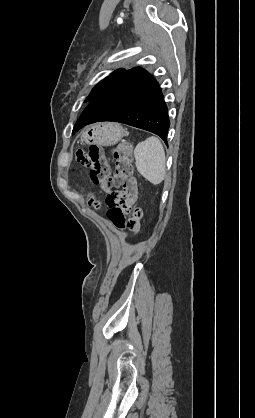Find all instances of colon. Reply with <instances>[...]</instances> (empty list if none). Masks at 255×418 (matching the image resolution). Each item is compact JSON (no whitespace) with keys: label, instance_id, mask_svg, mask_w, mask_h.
I'll return each mask as SVG.
<instances>
[{"label":"colon","instance_id":"obj_1","mask_svg":"<svg viewBox=\"0 0 255 418\" xmlns=\"http://www.w3.org/2000/svg\"><path fill=\"white\" fill-rule=\"evenodd\" d=\"M115 161V171H109L103 152L98 146H91L88 152L79 150L76 153L77 161L85 167L89 168V177L101 191L109 192L106 203L108 205L107 216L117 228H128L131 231L140 229V220L142 218V210L139 206H135L132 210V216L127 219L122 208L125 198L118 191H111L112 188L118 187L124 181L128 180L133 172L132 166V149L129 143H120L112 151Z\"/></svg>","mask_w":255,"mask_h":418}]
</instances>
